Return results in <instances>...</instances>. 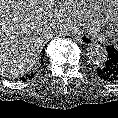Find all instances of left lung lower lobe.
I'll return each mask as SVG.
<instances>
[{"mask_svg": "<svg viewBox=\"0 0 118 118\" xmlns=\"http://www.w3.org/2000/svg\"><path fill=\"white\" fill-rule=\"evenodd\" d=\"M107 58L104 63L97 68V73L100 78L105 81L118 83V49L107 46Z\"/></svg>", "mask_w": 118, "mask_h": 118, "instance_id": "left-lung-lower-lobe-1", "label": "left lung lower lobe"}]
</instances>
